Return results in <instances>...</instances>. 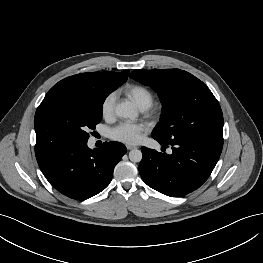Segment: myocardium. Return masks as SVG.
<instances>
[{
  "label": "myocardium",
  "instance_id": "1",
  "mask_svg": "<svg viewBox=\"0 0 263 263\" xmlns=\"http://www.w3.org/2000/svg\"><path fill=\"white\" fill-rule=\"evenodd\" d=\"M145 110L148 111V113H149L150 115L156 114V109H150V107H149V108H147V109H145Z\"/></svg>",
  "mask_w": 263,
  "mask_h": 263
}]
</instances>
